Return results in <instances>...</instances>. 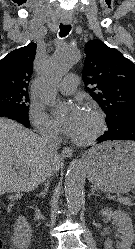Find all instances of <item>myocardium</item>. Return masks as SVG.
<instances>
[{
    "label": "myocardium",
    "instance_id": "1",
    "mask_svg": "<svg viewBox=\"0 0 135 249\" xmlns=\"http://www.w3.org/2000/svg\"><path fill=\"white\" fill-rule=\"evenodd\" d=\"M87 109L94 115L96 119V128L89 136L85 138L73 137V142L77 145H87L94 142L104 133L106 129L105 116L102 111L92 105H89Z\"/></svg>",
    "mask_w": 135,
    "mask_h": 249
}]
</instances>
